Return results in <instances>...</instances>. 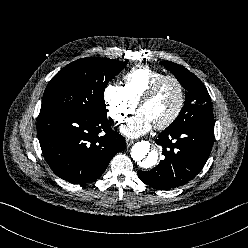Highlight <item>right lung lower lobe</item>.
<instances>
[{"instance_id":"obj_1","label":"right lung lower lobe","mask_w":248,"mask_h":248,"mask_svg":"<svg viewBox=\"0 0 248 248\" xmlns=\"http://www.w3.org/2000/svg\"><path fill=\"white\" fill-rule=\"evenodd\" d=\"M109 122L107 117L41 111L37 135L53 172L73 184L99 178L113 156L126 148L124 137Z\"/></svg>"}]
</instances>
